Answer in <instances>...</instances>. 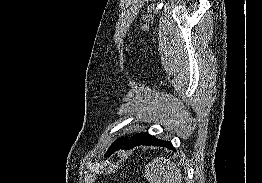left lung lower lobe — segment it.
I'll return each instance as SVG.
<instances>
[{
    "instance_id": "0a47b994",
    "label": "left lung lower lobe",
    "mask_w": 262,
    "mask_h": 183,
    "mask_svg": "<svg viewBox=\"0 0 262 183\" xmlns=\"http://www.w3.org/2000/svg\"><path fill=\"white\" fill-rule=\"evenodd\" d=\"M138 145H153L166 147L168 149H174L170 141L158 140L157 138L149 135L148 133H138L132 136L130 139H117L107 151L106 156H109L118 149H131Z\"/></svg>"
}]
</instances>
